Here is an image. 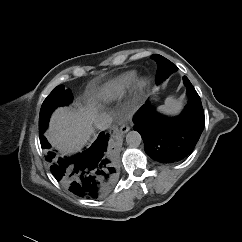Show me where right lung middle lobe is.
<instances>
[{
  "label": "right lung middle lobe",
  "mask_w": 242,
  "mask_h": 242,
  "mask_svg": "<svg viewBox=\"0 0 242 242\" xmlns=\"http://www.w3.org/2000/svg\"><path fill=\"white\" fill-rule=\"evenodd\" d=\"M72 101L69 89L65 90L63 85L57 86L44 100L39 115V134L43 135L48 126V121L53 110L58 106L68 105Z\"/></svg>",
  "instance_id": "right-lung-middle-lobe-1"
}]
</instances>
